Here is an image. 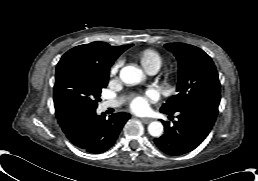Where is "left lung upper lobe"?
<instances>
[{
  "mask_svg": "<svg viewBox=\"0 0 258 181\" xmlns=\"http://www.w3.org/2000/svg\"><path fill=\"white\" fill-rule=\"evenodd\" d=\"M165 47L178 60V94L163 104L160 111L174 114L197 105L218 106L221 98L220 82L210 56L189 44L168 43Z\"/></svg>",
  "mask_w": 258,
  "mask_h": 181,
  "instance_id": "1",
  "label": "left lung upper lobe"
}]
</instances>
